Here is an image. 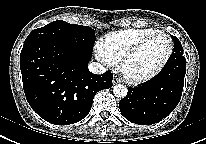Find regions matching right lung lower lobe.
Masks as SVG:
<instances>
[{
    "label": "right lung lower lobe",
    "mask_w": 206,
    "mask_h": 144,
    "mask_svg": "<svg viewBox=\"0 0 206 144\" xmlns=\"http://www.w3.org/2000/svg\"><path fill=\"white\" fill-rule=\"evenodd\" d=\"M92 52L39 40L23 45L20 69L26 99L44 120L69 125L85 118L95 94L112 87L113 75L91 73Z\"/></svg>",
    "instance_id": "right-lung-lower-lobe-1"
}]
</instances>
